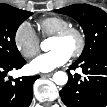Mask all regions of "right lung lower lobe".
Masks as SVG:
<instances>
[{"label":"right lung lower lobe","mask_w":107,"mask_h":107,"mask_svg":"<svg viewBox=\"0 0 107 107\" xmlns=\"http://www.w3.org/2000/svg\"><path fill=\"white\" fill-rule=\"evenodd\" d=\"M26 61L21 58L13 62L0 60V107H28L32 101V85L39 76H25L11 82L6 79L7 73L20 69ZM10 79V78H9Z\"/></svg>","instance_id":"98d812e1"}]
</instances>
